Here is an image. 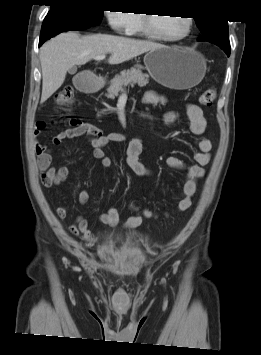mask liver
Returning a JSON list of instances; mask_svg holds the SVG:
<instances>
[{
    "instance_id": "liver-1",
    "label": "liver",
    "mask_w": 261,
    "mask_h": 355,
    "mask_svg": "<svg viewBox=\"0 0 261 355\" xmlns=\"http://www.w3.org/2000/svg\"><path fill=\"white\" fill-rule=\"evenodd\" d=\"M163 47L151 41L128 37L95 34L80 37L76 32L61 33L40 48L42 69L41 103L63 84L67 71L84 65L98 55L110 53V64H120L150 50Z\"/></svg>"
}]
</instances>
